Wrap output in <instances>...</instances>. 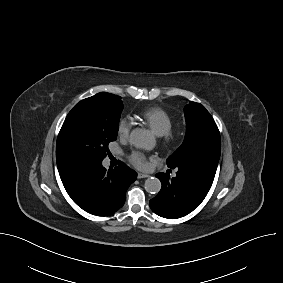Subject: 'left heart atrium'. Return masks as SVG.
<instances>
[{"mask_svg": "<svg viewBox=\"0 0 283 283\" xmlns=\"http://www.w3.org/2000/svg\"><path fill=\"white\" fill-rule=\"evenodd\" d=\"M130 162L140 169H145L148 166L147 156L138 150L131 152L129 155Z\"/></svg>", "mask_w": 283, "mask_h": 283, "instance_id": "39dd6f15", "label": "left heart atrium"}]
</instances>
